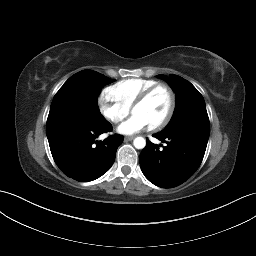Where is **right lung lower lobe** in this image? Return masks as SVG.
Wrapping results in <instances>:
<instances>
[{
  "label": "right lung lower lobe",
  "mask_w": 256,
  "mask_h": 256,
  "mask_svg": "<svg viewBox=\"0 0 256 256\" xmlns=\"http://www.w3.org/2000/svg\"><path fill=\"white\" fill-rule=\"evenodd\" d=\"M111 129L112 125L108 121H47L46 132L55 163L66 176L77 181L99 178L112 166L117 148L123 142V137L118 134L102 142L95 140Z\"/></svg>",
  "instance_id": "right-lung-lower-lobe-1"
}]
</instances>
